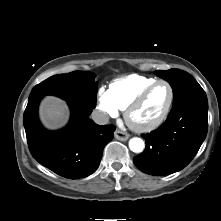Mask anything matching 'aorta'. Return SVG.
Returning <instances> with one entry per match:
<instances>
[{"instance_id":"obj_1","label":"aorta","mask_w":221,"mask_h":221,"mask_svg":"<svg viewBox=\"0 0 221 221\" xmlns=\"http://www.w3.org/2000/svg\"><path fill=\"white\" fill-rule=\"evenodd\" d=\"M129 148L132 152L140 153L144 149V142L141 138H132L129 141Z\"/></svg>"}]
</instances>
